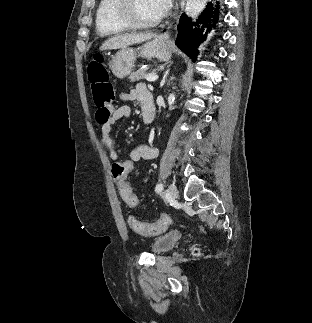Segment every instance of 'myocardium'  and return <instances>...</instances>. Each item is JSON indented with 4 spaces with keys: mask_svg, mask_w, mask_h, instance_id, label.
<instances>
[{
    "mask_svg": "<svg viewBox=\"0 0 312 323\" xmlns=\"http://www.w3.org/2000/svg\"><path fill=\"white\" fill-rule=\"evenodd\" d=\"M115 6L116 8L112 10V13L117 15L122 25H132V31H142L143 27L160 23L158 18H149L148 20L138 18L139 14L133 9L131 0H116ZM166 8H169V5H166Z\"/></svg>",
    "mask_w": 312,
    "mask_h": 323,
    "instance_id": "obj_1",
    "label": "myocardium"
}]
</instances>
